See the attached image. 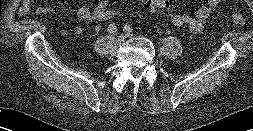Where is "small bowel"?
<instances>
[{"instance_id":"1","label":"small bowel","mask_w":253,"mask_h":131,"mask_svg":"<svg viewBox=\"0 0 253 131\" xmlns=\"http://www.w3.org/2000/svg\"><path fill=\"white\" fill-rule=\"evenodd\" d=\"M110 0H101L94 9L80 7L76 11L77 18L84 23H95L93 29L100 32L103 22L102 13L108 8ZM31 0H24L19 8V14L25 15L29 11ZM222 3V0H205L204 5L199 7L193 14H177L173 16L172 23L176 27L188 26L189 30L194 33H200L203 30L205 21L211 16L216 8ZM43 13H52V8L46 7L42 9ZM82 28L77 26L73 30V34L79 36L82 34ZM59 32L64 35H70L67 29H60Z\"/></svg>"}]
</instances>
